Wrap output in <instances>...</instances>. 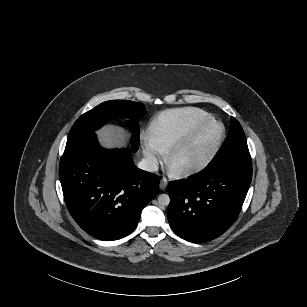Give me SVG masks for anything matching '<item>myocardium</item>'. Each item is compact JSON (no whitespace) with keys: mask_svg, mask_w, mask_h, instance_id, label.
Here are the masks:
<instances>
[{"mask_svg":"<svg viewBox=\"0 0 307 307\" xmlns=\"http://www.w3.org/2000/svg\"><path fill=\"white\" fill-rule=\"evenodd\" d=\"M221 123L224 128V132L222 137L219 139L217 144L214 146V148L200 161L197 163L183 167L181 169H174L173 163L174 161L186 150H188L190 147H192L197 141L200 139V137L214 124ZM227 137V127L225 123L221 120H210L206 124L202 125L198 129H196L190 136H188L184 141L174 146L171 150H169L167 156H166V164L169 172L177 177V178H184L191 176L193 174H196L202 170H204L206 167H208L217 157L219 154L224 141Z\"/></svg>","mask_w":307,"mask_h":307,"instance_id":"myocardium-1","label":"myocardium"}]
</instances>
